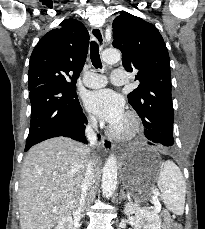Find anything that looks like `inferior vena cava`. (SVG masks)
Here are the masks:
<instances>
[{
  "instance_id": "1",
  "label": "inferior vena cava",
  "mask_w": 205,
  "mask_h": 229,
  "mask_svg": "<svg viewBox=\"0 0 205 229\" xmlns=\"http://www.w3.org/2000/svg\"><path fill=\"white\" fill-rule=\"evenodd\" d=\"M96 132H97V120L96 118L91 117L85 129V136L90 143V147H93L97 143V133ZM94 178H95V175L93 172L92 162L91 160H89L86 165V170H85L81 193H80V199H79V205H78L79 211L82 210L83 207L85 206V203L88 197V190L93 185Z\"/></svg>"
}]
</instances>
